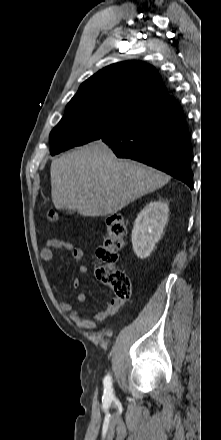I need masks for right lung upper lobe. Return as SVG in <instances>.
<instances>
[{
    "label": "right lung upper lobe",
    "instance_id": "1",
    "mask_svg": "<svg viewBox=\"0 0 221 440\" xmlns=\"http://www.w3.org/2000/svg\"><path fill=\"white\" fill-rule=\"evenodd\" d=\"M167 95L153 66L141 61H125L105 67L87 79L69 103L108 101L136 111Z\"/></svg>",
    "mask_w": 221,
    "mask_h": 440
}]
</instances>
